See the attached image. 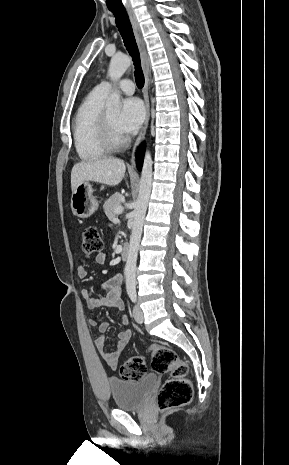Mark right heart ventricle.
<instances>
[{
	"label": "right heart ventricle",
	"mask_w": 289,
	"mask_h": 465,
	"mask_svg": "<svg viewBox=\"0 0 289 465\" xmlns=\"http://www.w3.org/2000/svg\"><path fill=\"white\" fill-rule=\"evenodd\" d=\"M106 94L93 89L78 108L73 125L74 145L82 161H95L107 155L99 136V121Z\"/></svg>",
	"instance_id": "right-heart-ventricle-1"
}]
</instances>
